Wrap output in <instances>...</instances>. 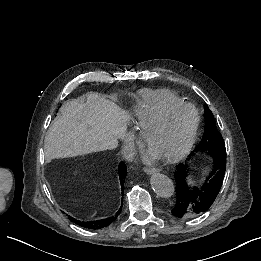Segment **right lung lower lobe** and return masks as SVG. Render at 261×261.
<instances>
[{"instance_id":"1","label":"right lung lower lobe","mask_w":261,"mask_h":261,"mask_svg":"<svg viewBox=\"0 0 261 261\" xmlns=\"http://www.w3.org/2000/svg\"><path fill=\"white\" fill-rule=\"evenodd\" d=\"M126 175H127L126 165L123 162H121L119 164V179H120V183L122 185L121 186L122 195H123V192H124L123 191V183H124ZM121 209H122V205H121L119 211L115 215H113V216H111L109 218H106V219H101V220H96V221H84V222H81V221H79V220H77V219H75V218H73L71 216H68V218L72 222L78 224L79 226H82V227L88 228V229L96 230V229H101L103 227H106L109 224H111L113 221H115L117 219V217L119 216V214L121 213Z\"/></svg>"}]
</instances>
